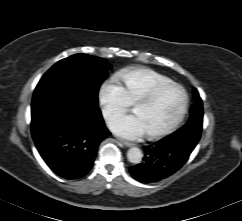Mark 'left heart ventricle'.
Instances as JSON below:
<instances>
[{"mask_svg":"<svg viewBox=\"0 0 242 221\" xmlns=\"http://www.w3.org/2000/svg\"><path fill=\"white\" fill-rule=\"evenodd\" d=\"M183 95L176 87L164 89L154 101L133 109L142 120L147 133L161 131L168 127L179 115Z\"/></svg>","mask_w":242,"mask_h":221,"instance_id":"1","label":"left heart ventricle"}]
</instances>
